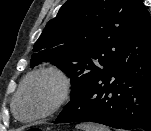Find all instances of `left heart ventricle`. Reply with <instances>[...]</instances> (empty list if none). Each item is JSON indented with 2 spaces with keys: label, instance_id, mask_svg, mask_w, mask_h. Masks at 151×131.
Here are the masks:
<instances>
[{
  "label": "left heart ventricle",
  "instance_id": "1",
  "mask_svg": "<svg viewBox=\"0 0 151 131\" xmlns=\"http://www.w3.org/2000/svg\"><path fill=\"white\" fill-rule=\"evenodd\" d=\"M58 86L52 78L34 80L19 100V113L23 117L35 115L46 109L56 98Z\"/></svg>",
  "mask_w": 151,
  "mask_h": 131
}]
</instances>
